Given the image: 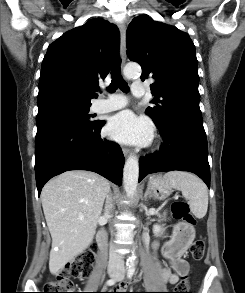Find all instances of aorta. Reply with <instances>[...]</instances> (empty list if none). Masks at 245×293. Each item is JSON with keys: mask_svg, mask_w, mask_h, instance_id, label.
Returning a JSON list of instances; mask_svg holds the SVG:
<instances>
[{"mask_svg": "<svg viewBox=\"0 0 245 293\" xmlns=\"http://www.w3.org/2000/svg\"><path fill=\"white\" fill-rule=\"evenodd\" d=\"M141 67L136 63L127 64L123 70L125 77L133 78L140 74ZM139 177V162L136 156L130 155L125 162L123 170V184L128 196L133 197L136 194ZM129 267L135 266V257L128 260Z\"/></svg>", "mask_w": 245, "mask_h": 293, "instance_id": "obj_1", "label": "aorta"}]
</instances>
